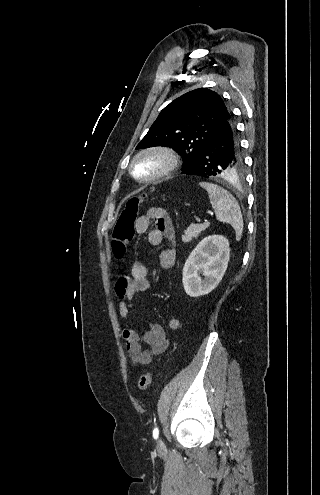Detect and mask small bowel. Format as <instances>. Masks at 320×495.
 <instances>
[{"label":"small bowel","instance_id":"c3829d8e","mask_svg":"<svg viewBox=\"0 0 320 495\" xmlns=\"http://www.w3.org/2000/svg\"><path fill=\"white\" fill-rule=\"evenodd\" d=\"M135 229L139 235L147 233L149 243L155 247L159 246L163 239L173 241L175 237L172 221L167 212L161 208H151L140 216L135 222ZM159 258L161 267L169 270L175 263V251L173 249L162 250ZM148 287V268L139 261L132 264L129 274H120L116 280V299L120 315L125 320L122 337L128 357L135 366L151 364L155 357L168 350L170 344L160 324L151 321L148 323L147 330L140 333L127 321L129 312L133 308V300ZM180 326L181 321L178 318H172L168 322L171 330H177ZM143 344L149 348L144 349Z\"/></svg>","mask_w":320,"mask_h":495}]
</instances>
